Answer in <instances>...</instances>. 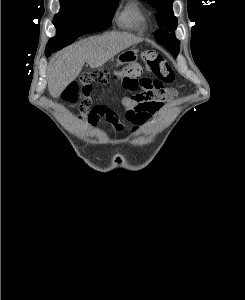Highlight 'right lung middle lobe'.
Here are the masks:
<instances>
[{"mask_svg":"<svg viewBox=\"0 0 245 300\" xmlns=\"http://www.w3.org/2000/svg\"><path fill=\"white\" fill-rule=\"evenodd\" d=\"M61 9L53 24L56 36L51 38L46 50L57 51L71 44L82 35L85 20H97L108 28L118 6V0H60Z\"/></svg>","mask_w":245,"mask_h":300,"instance_id":"dd1d6c3e","label":"right lung middle lobe"}]
</instances>
